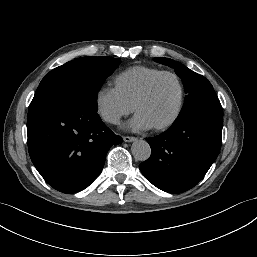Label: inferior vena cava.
<instances>
[{
	"mask_svg": "<svg viewBox=\"0 0 257 257\" xmlns=\"http://www.w3.org/2000/svg\"><path fill=\"white\" fill-rule=\"evenodd\" d=\"M105 120H106V121H109V122H112V123H116L117 120H118V117H117V116H114V115H109V116H106V117H105Z\"/></svg>",
	"mask_w": 257,
	"mask_h": 257,
	"instance_id": "1",
	"label": "inferior vena cava"
}]
</instances>
